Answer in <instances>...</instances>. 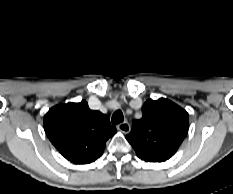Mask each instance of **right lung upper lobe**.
Here are the masks:
<instances>
[{
    "label": "right lung upper lobe",
    "mask_w": 233,
    "mask_h": 194,
    "mask_svg": "<svg viewBox=\"0 0 233 194\" xmlns=\"http://www.w3.org/2000/svg\"><path fill=\"white\" fill-rule=\"evenodd\" d=\"M43 122L49 140L74 164L94 162L102 156L108 138L117 132L106 115L90 110L84 100L53 107Z\"/></svg>",
    "instance_id": "1"
}]
</instances>
